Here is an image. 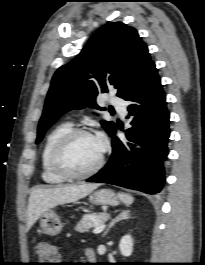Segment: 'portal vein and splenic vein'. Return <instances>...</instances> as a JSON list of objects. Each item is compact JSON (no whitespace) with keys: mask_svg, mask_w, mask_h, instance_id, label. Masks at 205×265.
<instances>
[{"mask_svg":"<svg viewBox=\"0 0 205 265\" xmlns=\"http://www.w3.org/2000/svg\"><path fill=\"white\" fill-rule=\"evenodd\" d=\"M104 228H105V224H97L95 228L93 229V233L99 234L100 232L104 230Z\"/></svg>","mask_w":205,"mask_h":265,"instance_id":"portal-vein-and-splenic-vein-1","label":"portal vein and splenic vein"}]
</instances>
